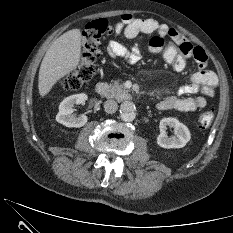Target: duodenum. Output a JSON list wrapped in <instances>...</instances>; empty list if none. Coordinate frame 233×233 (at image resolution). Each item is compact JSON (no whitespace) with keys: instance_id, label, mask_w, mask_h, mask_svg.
I'll return each instance as SVG.
<instances>
[{"instance_id":"1","label":"duodenum","mask_w":233,"mask_h":233,"mask_svg":"<svg viewBox=\"0 0 233 233\" xmlns=\"http://www.w3.org/2000/svg\"><path fill=\"white\" fill-rule=\"evenodd\" d=\"M95 91L99 96L104 98H110L112 96V89L104 82L97 83L95 86ZM121 95L125 100L131 99V96L128 92H123Z\"/></svg>"}]
</instances>
